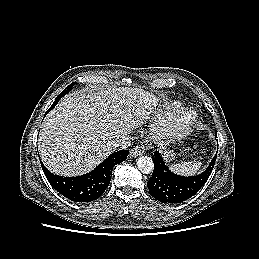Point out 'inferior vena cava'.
<instances>
[{"label": "inferior vena cava", "instance_id": "602c4592", "mask_svg": "<svg viewBox=\"0 0 259 259\" xmlns=\"http://www.w3.org/2000/svg\"><path fill=\"white\" fill-rule=\"evenodd\" d=\"M130 145V139L126 136L116 140L113 144L115 149H127Z\"/></svg>", "mask_w": 259, "mask_h": 259}]
</instances>
